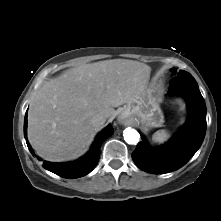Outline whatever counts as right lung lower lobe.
I'll list each match as a JSON object with an SVG mask.
<instances>
[{
  "instance_id": "right-lung-lower-lobe-1",
  "label": "right lung lower lobe",
  "mask_w": 221,
  "mask_h": 221,
  "mask_svg": "<svg viewBox=\"0 0 221 221\" xmlns=\"http://www.w3.org/2000/svg\"><path fill=\"white\" fill-rule=\"evenodd\" d=\"M27 113L24 120V136H27ZM114 133L112 125H108L102 132H100L91 146L90 151L79 158L76 161L68 163H52L44 161L43 168L60 175L63 178L74 179L87 175L96 166L100 156V145L101 143ZM28 143V142H27ZM28 149L35 155L31 146L28 145Z\"/></svg>"
}]
</instances>
